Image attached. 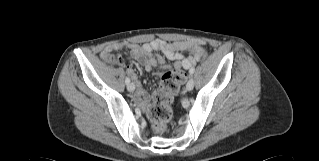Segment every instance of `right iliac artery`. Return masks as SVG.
Wrapping results in <instances>:
<instances>
[{"label": "right iliac artery", "instance_id": "right-iliac-artery-1", "mask_svg": "<svg viewBox=\"0 0 319 161\" xmlns=\"http://www.w3.org/2000/svg\"><path fill=\"white\" fill-rule=\"evenodd\" d=\"M125 82H126V84H129V83H130V78L127 77V78L125 79Z\"/></svg>", "mask_w": 319, "mask_h": 161}]
</instances>
